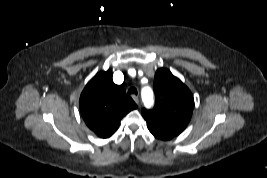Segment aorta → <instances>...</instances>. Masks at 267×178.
Returning <instances> with one entry per match:
<instances>
[{
    "label": "aorta",
    "instance_id": "aorta-1",
    "mask_svg": "<svg viewBox=\"0 0 267 178\" xmlns=\"http://www.w3.org/2000/svg\"><path fill=\"white\" fill-rule=\"evenodd\" d=\"M142 101L146 107H151L154 104L153 91L150 87H144L141 90Z\"/></svg>",
    "mask_w": 267,
    "mask_h": 178
}]
</instances>
